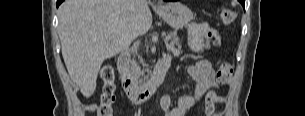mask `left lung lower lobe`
<instances>
[{
    "instance_id": "1",
    "label": "left lung lower lobe",
    "mask_w": 305,
    "mask_h": 116,
    "mask_svg": "<svg viewBox=\"0 0 305 116\" xmlns=\"http://www.w3.org/2000/svg\"><path fill=\"white\" fill-rule=\"evenodd\" d=\"M240 1V3L243 5V7H244V5H245V0H239Z\"/></svg>"
}]
</instances>
